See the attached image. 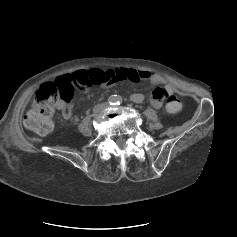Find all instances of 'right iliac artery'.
<instances>
[{"label":"right iliac artery","instance_id":"right-iliac-artery-1","mask_svg":"<svg viewBox=\"0 0 237 237\" xmlns=\"http://www.w3.org/2000/svg\"><path fill=\"white\" fill-rule=\"evenodd\" d=\"M114 101H115L114 98H110V99H109V103H110L111 105H113Z\"/></svg>","mask_w":237,"mask_h":237}]
</instances>
